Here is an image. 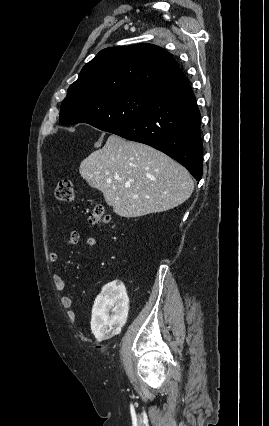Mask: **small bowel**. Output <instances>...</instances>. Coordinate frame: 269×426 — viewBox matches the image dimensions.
Returning <instances> with one entry per match:
<instances>
[{
    "label": "small bowel",
    "instance_id": "small-bowel-1",
    "mask_svg": "<svg viewBox=\"0 0 269 426\" xmlns=\"http://www.w3.org/2000/svg\"><path fill=\"white\" fill-rule=\"evenodd\" d=\"M80 240V235L77 231L71 230L69 232V235L67 239L65 240L64 244L67 246L76 245ZM87 246L92 249L96 250L99 247L98 240L90 237L86 240ZM58 260V253L57 252H51L49 254V261L51 263H55ZM53 282L57 290L64 291L66 289V283L63 279V276L60 273H54L53 275ZM61 305L64 308H70L72 306V298L68 295H64L61 297Z\"/></svg>",
    "mask_w": 269,
    "mask_h": 426
}]
</instances>
